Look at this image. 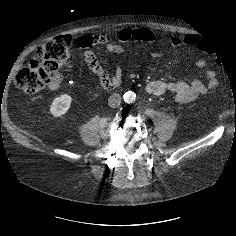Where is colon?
Instances as JSON below:
<instances>
[{"label": "colon", "instance_id": "5ec220e1", "mask_svg": "<svg viewBox=\"0 0 236 236\" xmlns=\"http://www.w3.org/2000/svg\"><path fill=\"white\" fill-rule=\"evenodd\" d=\"M69 45V39L57 37L39 46L37 57L17 73L16 86L27 94H35L45 86L58 82L61 70L71 62Z\"/></svg>", "mask_w": 236, "mask_h": 236}]
</instances>
